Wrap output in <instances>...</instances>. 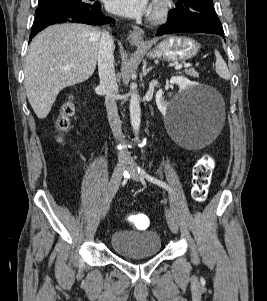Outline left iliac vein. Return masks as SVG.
<instances>
[{"mask_svg":"<svg viewBox=\"0 0 267 301\" xmlns=\"http://www.w3.org/2000/svg\"><path fill=\"white\" fill-rule=\"evenodd\" d=\"M130 174H131V178L134 181H138V182H141V183L145 184V178H144V176H142L141 174H139L137 172V170L134 167V165H131ZM165 214H166L167 224H168L170 230L173 233H175V234L178 233L177 223H176L175 219L173 218V216L171 215L170 210L166 209L165 210Z\"/></svg>","mask_w":267,"mask_h":301,"instance_id":"4c4485c4","label":"left iliac vein"}]
</instances>
